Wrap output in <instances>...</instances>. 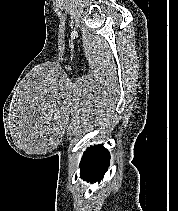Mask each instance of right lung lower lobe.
<instances>
[{
    "instance_id": "obj_1",
    "label": "right lung lower lobe",
    "mask_w": 178,
    "mask_h": 211,
    "mask_svg": "<svg viewBox=\"0 0 178 211\" xmlns=\"http://www.w3.org/2000/svg\"><path fill=\"white\" fill-rule=\"evenodd\" d=\"M110 155L102 145L88 148L81 160L80 176L88 182L101 180L108 169Z\"/></svg>"
}]
</instances>
